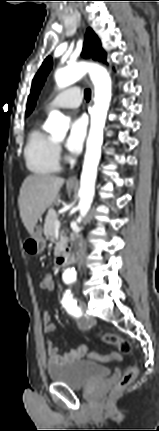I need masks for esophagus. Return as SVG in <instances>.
<instances>
[{
	"label": "esophagus",
	"instance_id": "obj_1",
	"mask_svg": "<svg viewBox=\"0 0 159 431\" xmlns=\"http://www.w3.org/2000/svg\"><path fill=\"white\" fill-rule=\"evenodd\" d=\"M68 184H76L78 183V176L77 174L71 176L68 180H67Z\"/></svg>",
	"mask_w": 159,
	"mask_h": 431
}]
</instances>
